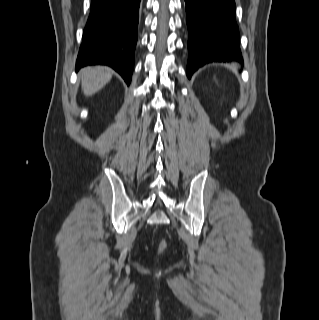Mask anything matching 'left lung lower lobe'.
I'll use <instances>...</instances> for the list:
<instances>
[{"label": "left lung lower lobe", "mask_w": 319, "mask_h": 320, "mask_svg": "<svg viewBox=\"0 0 319 320\" xmlns=\"http://www.w3.org/2000/svg\"><path fill=\"white\" fill-rule=\"evenodd\" d=\"M188 78L206 63L243 62L234 0H185Z\"/></svg>", "instance_id": "1"}]
</instances>
